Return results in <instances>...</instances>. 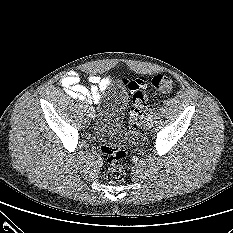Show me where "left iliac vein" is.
I'll return each instance as SVG.
<instances>
[{"instance_id":"left-iliac-vein-1","label":"left iliac vein","mask_w":233,"mask_h":233,"mask_svg":"<svg viewBox=\"0 0 233 233\" xmlns=\"http://www.w3.org/2000/svg\"><path fill=\"white\" fill-rule=\"evenodd\" d=\"M146 129H150L153 126V115L149 114L144 124Z\"/></svg>"}]
</instances>
